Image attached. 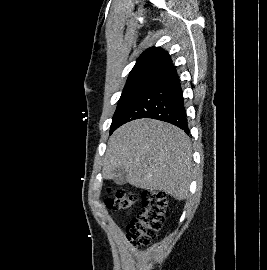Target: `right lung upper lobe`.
Segmentation results:
<instances>
[{
    "mask_svg": "<svg viewBox=\"0 0 267 270\" xmlns=\"http://www.w3.org/2000/svg\"><path fill=\"white\" fill-rule=\"evenodd\" d=\"M171 63L172 60L167 51L159 47L149 48L137 59L127 80L145 75H156Z\"/></svg>",
    "mask_w": 267,
    "mask_h": 270,
    "instance_id": "right-lung-upper-lobe-1",
    "label": "right lung upper lobe"
}]
</instances>
